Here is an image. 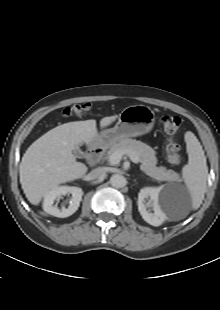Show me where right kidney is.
I'll use <instances>...</instances> for the list:
<instances>
[{
	"label": "right kidney",
	"mask_w": 220,
	"mask_h": 310,
	"mask_svg": "<svg viewBox=\"0 0 220 310\" xmlns=\"http://www.w3.org/2000/svg\"><path fill=\"white\" fill-rule=\"evenodd\" d=\"M71 194V199L69 201L68 208L58 209L57 206L53 205L55 200L60 199L62 196ZM83 191L79 187H70V186H57L52 188L49 192L46 193L43 200V209L46 213L65 218L74 214L82 200Z\"/></svg>",
	"instance_id": "obj_1"
}]
</instances>
